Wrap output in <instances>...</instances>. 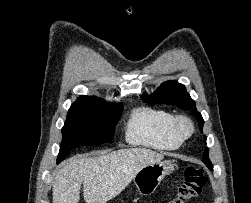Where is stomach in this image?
Masks as SVG:
<instances>
[{
  "mask_svg": "<svg viewBox=\"0 0 251 203\" xmlns=\"http://www.w3.org/2000/svg\"><path fill=\"white\" fill-rule=\"evenodd\" d=\"M175 164L172 160L156 162L143 167L134 177V184L142 195L152 194L165 175L174 170Z\"/></svg>",
  "mask_w": 251,
  "mask_h": 203,
  "instance_id": "0dacf381",
  "label": "stomach"
}]
</instances>
